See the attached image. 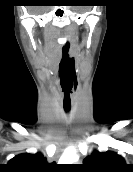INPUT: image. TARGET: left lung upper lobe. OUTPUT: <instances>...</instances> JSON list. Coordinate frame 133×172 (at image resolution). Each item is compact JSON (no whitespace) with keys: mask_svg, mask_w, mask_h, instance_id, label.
I'll return each mask as SVG.
<instances>
[{"mask_svg":"<svg viewBox=\"0 0 133 172\" xmlns=\"http://www.w3.org/2000/svg\"><path fill=\"white\" fill-rule=\"evenodd\" d=\"M126 166L124 158L111 151H94L82 165L86 172H122Z\"/></svg>","mask_w":133,"mask_h":172,"instance_id":"1","label":"left lung upper lobe"}]
</instances>
